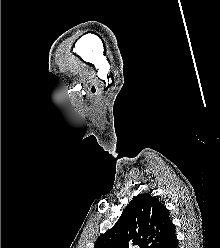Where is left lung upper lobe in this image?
<instances>
[{"label": "left lung upper lobe", "mask_w": 220, "mask_h": 248, "mask_svg": "<svg viewBox=\"0 0 220 248\" xmlns=\"http://www.w3.org/2000/svg\"><path fill=\"white\" fill-rule=\"evenodd\" d=\"M173 223L169 211L148 193L139 194L123 210L115 225L104 233L94 248H159Z\"/></svg>", "instance_id": "left-lung-upper-lobe-1"}]
</instances>
